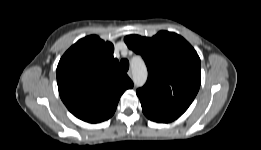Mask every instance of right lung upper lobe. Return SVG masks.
Here are the masks:
<instances>
[{
  "mask_svg": "<svg viewBox=\"0 0 261 150\" xmlns=\"http://www.w3.org/2000/svg\"><path fill=\"white\" fill-rule=\"evenodd\" d=\"M114 46L96 35L80 39L57 66L60 97L79 119L98 123L115 112L120 96L133 82L113 57Z\"/></svg>",
  "mask_w": 261,
  "mask_h": 150,
  "instance_id": "cb5924a9",
  "label": "right lung upper lobe"
}]
</instances>
